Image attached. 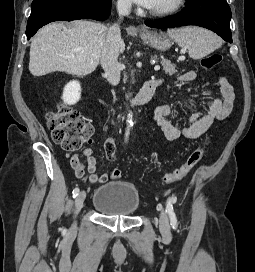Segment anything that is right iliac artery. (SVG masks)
<instances>
[{
	"label": "right iliac artery",
	"instance_id": "82829eb1",
	"mask_svg": "<svg viewBox=\"0 0 255 272\" xmlns=\"http://www.w3.org/2000/svg\"><path fill=\"white\" fill-rule=\"evenodd\" d=\"M129 135V130L126 131V137ZM79 188H74L72 194H73V197H76L78 194H79Z\"/></svg>",
	"mask_w": 255,
	"mask_h": 272
}]
</instances>
